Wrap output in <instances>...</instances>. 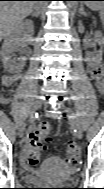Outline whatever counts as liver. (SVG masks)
Listing matches in <instances>:
<instances>
[{"label":"liver","mask_w":104,"mask_h":189,"mask_svg":"<svg viewBox=\"0 0 104 189\" xmlns=\"http://www.w3.org/2000/svg\"><path fill=\"white\" fill-rule=\"evenodd\" d=\"M35 6L34 1L0 2V35L6 37L15 32L21 21L28 16Z\"/></svg>","instance_id":"obj_1"}]
</instances>
